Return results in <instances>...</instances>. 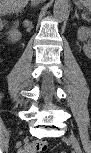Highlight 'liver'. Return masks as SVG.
I'll return each instance as SVG.
<instances>
[{
  "instance_id": "obj_1",
  "label": "liver",
  "mask_w": 91,
  "mask_h": 153,
  "mask_svg": "<svg viewBox=\"0 0 91 153\" xmlns=\"http://www.w3.org/2000/svg\"><path fill=\"white\" fill-rule=\"evenodd\" d=\"M29 0H1V11L4 13H15L21 11Z\"/></svg>"
}]
</instances>
